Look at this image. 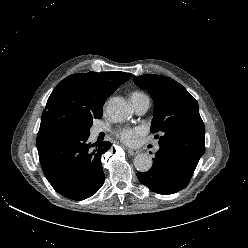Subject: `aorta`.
Masks as SVG:
<instances>
[{"label": "aorta", "mask_w": 248, "mask_h": 248, "mask_svg": "<svg viewBox=\"0 0 248 248\" xmlns=\"http://www.w3.org/2000/svg\"><path fill=\"white\" fill-rule=\"evenodd\" d=\"M107 112L115 122L126 120L132 113L131 106L122 97H112L107 104ZM134 166L140 172H147L152 167V158L146 153H140L134 158Z\"/></svg>", "instance_id": "762f6f07"}]
</instances>
